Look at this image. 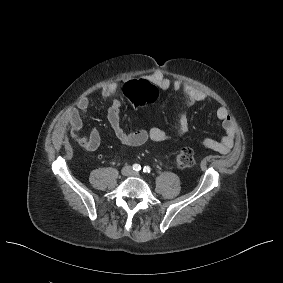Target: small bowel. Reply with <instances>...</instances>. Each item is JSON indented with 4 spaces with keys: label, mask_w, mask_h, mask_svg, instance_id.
I'll list each match as a JSON object with an SVG mask.
<instances>
[{
    "label": "small bowel",
    "mask_w": 283,
    "mask_h": 283,
    "mask_svg": "<svg viewBox=\"0 0 283 283\" xmlns=\"http://www.w3.org/2000/svg\"><path fill=\"white\" fill-rule=\"evenodd\" d=\"M144 80L157 86L161 90L173 89L175 92L182 91L188 98L190 105H195L206 99V95L195 89L190 85H183L179 80H172L161 72H153L144 76ZM118 86L116 83H109L102 87L101 95L105 99L113 98L116 95ZM121 100L114 98L111 106L107 111V120L111 126L117 139L125 146L136 147L145 144L148 141L160 143L168 140L170 137L160 128L153 127L150 129H141L138 131L128 132L120 123V108ZM89 109V100L86 96H82L78 99L76 107L69 114V122L72 127L73 135L78 140L84 143V147L87 151L93 152L98 149L101 143V137L98 130L93 129L89 135L82 133V120L81 115L87 114ZM216 116L221 121L222 127L225 131V135L219 139L214 140L211 138H205L203 145L216 152L226 154L228 153L234 144L236 126L233 118L230 116L228 110L225 107H219L216 110ZM188 131V121L186 118H181L178 129V136L185 134Z\"/></svg>",
    "instance_id": "1"
}]
</instances>
